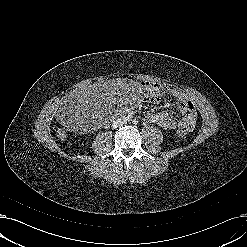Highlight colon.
Wrapping results in <instances>:
<instances>
[{
	"label": "colon",
	"mask_w": 247,
	"mask_h": 247,
	"mask_svg": "<svg viewBox=\"0 0 247 247\" xmlns=\"http://www.w3.org/2000/svg\"><path fill=\"white\" fill-rule=\"evenodd\" d=\"M144 92H145V95H146L148 100H155L160 96L158 87L156 85H154V84H150V83L144 84ZM187 133H188V130L186 128H179L176 131V136L178 138H183V137H185L187 135ZM56 135L59 138L63 139V138L67 137L68 132H67L65 127L59 126L56 129Z\"/></svg>",
	"instance_id": "1"
}]
</instances>
